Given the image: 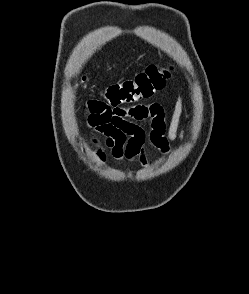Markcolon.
<instances>
[{"mask_svg": "<svg viewBox=\"0 0 249 294\" xmlns=\"http://www.w3.org/2000/svg\"><path fill=\"white\" fill-rule=\"evenodd\" d=\"M171 67L160 64L149 65L144 71L134 78L107 87L100 100H92V103H101L108 106L133 103L142 99H148L162 89L170 76ZM81 87L85 86V78L78 81Z\"/></svg>", "mask_w": 249, "mask_h": 294, "instance_id": "colon-1", "label": "colon"}]
</instances>
